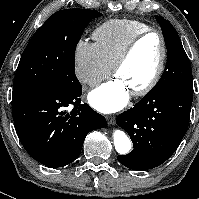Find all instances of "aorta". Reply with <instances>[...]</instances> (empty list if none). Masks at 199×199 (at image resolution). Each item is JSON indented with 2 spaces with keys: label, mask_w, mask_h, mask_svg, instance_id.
Wrapping results in <instances>:
<instances>
[{
  "label": "aorta",
  "mask_w": 199,
  "mask_h": 199,
  "mask_svg": "<svg viewBox=\"0 0 199 199\" xmlns=\"http://www.w3.org/2000/svg\"><path fill=\"white\" fill-rule=\"evenodd\" d=\"M113 139H114L115 149L119 154L125 155L130 152L131 141L123 131L116 130L113 133Z\"/></svg>",
  "instance_id": "obj_1"
}]
</instances>
